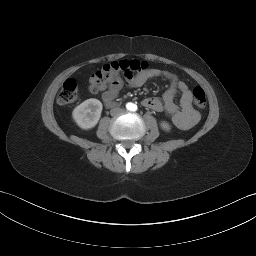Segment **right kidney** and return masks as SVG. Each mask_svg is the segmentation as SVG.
<instances>
[{"instance_id":"ca27d5eb","label":"right kidney","mask_w":256,"mask_h":256,"mask_svg":"<svg viewBox=\"0 0 256 256\" xmlns=\"http://www.w3.org/2000/svg\"><path fill=\"white\" fill-rule=\"evenodd\" d=\"M102 108V103L98 99L90 98L74 108L72 117L80 128L91 129L98 123Z\"/></svg>"}]
</instances>
